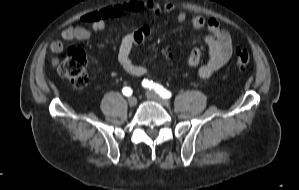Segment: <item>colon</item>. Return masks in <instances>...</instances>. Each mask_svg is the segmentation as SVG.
<instances>
[{"label": "colon", "instance_id": "5ec220e1", "mask_svg": "<svg viewBox=\"0 0 299 190\" xmlns=\"http://www.w3.org/2000/svg\"><path fill=\"white\" fill-rule=\"evenodd\" d=\"M236 66L245 68L250 63V53L245 48L236 50ZM59 74L70 81L77 89H83L88 85L89 78L86 69V55L84 51L76 46L69 48L67 55L61 61Z\"/></svg>", "mask_w": 299, "mask_h": 190}]
</instances>
